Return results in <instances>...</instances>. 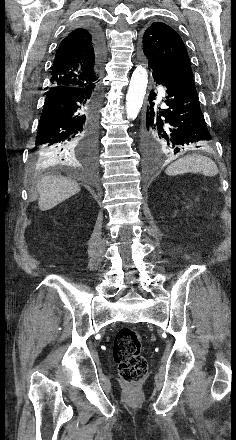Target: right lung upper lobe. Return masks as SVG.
<instances>
[{"mask_svg": "<svg viewBox=\"0 0 236 440\" xmlns=\"http://www.w3.org/2000/svg\"><path fill=\"white\" fill-rule=\"evenodd\" d=\"M99 78L92 35L85 27L76 28L62 40L56 51L49 89L85 87Z\"/></svg>", "mask_w": 236, "mask_h": 440, "instance_id": "1", "label": "right lung upper lobe"}]
</instances>
